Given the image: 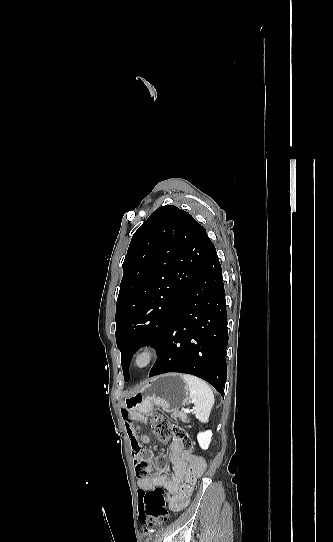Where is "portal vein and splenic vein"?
I'll use <instances>...</instances> for the list:
<instances>
[{
	"label": "portal vein and splenic vein",
	"instance_id": "obj_1",
	"mask_svg": "<svg viewBox=\"0 0 333 542\" xmlns=\"http://www.w3.org/2000/svg\"><path fill=\"white\" fill-rule=\"evenodd\" d=\"M184 412H187L188 414V412H193V410H184Z\"/></svg>",
	"mask_w": 333,
	"mask_h": 542
}]
</instances>
